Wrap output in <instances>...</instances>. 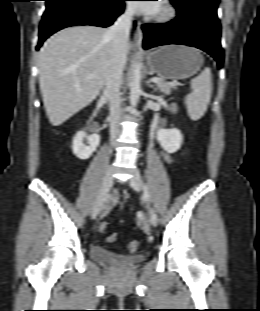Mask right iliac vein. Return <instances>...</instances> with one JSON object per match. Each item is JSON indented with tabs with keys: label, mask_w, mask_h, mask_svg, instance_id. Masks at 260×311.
<instances>
[{
	"label": "right iliac vein",
	"mask_w": 260,
	"mask_h": 311,
	"mask_svg": "<svg viewBox=\"0 0 260 311\" xmlns=\"http://www.w3.org/2000/svg\"><path fill=\"white\" fill-rule=\"evenodd\" d=\"M112 184H113V168L111 165H108L105 170L100 192L91 210L92 219H96L99 213L101 212L105 197L109 192L110 188L112 187Z\"/></svg>",
	"instance_id": "63e3f726"
}]
</instances>
